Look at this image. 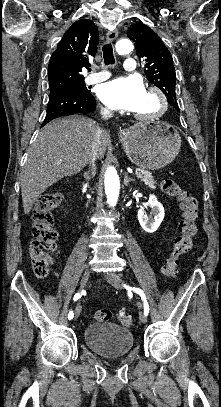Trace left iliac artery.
Returning <instances> with one entry per match:
<instances>
[{
	"label": "left iliac artery",
	"instance_id": "1",
	"mask_svg": "<svg viewBox=\"0 0 221 407\" xmlns=\"http://www.w3.org/2000/svg\"><path fill=\"white\" fill-rule=\"evenodd\" d=\"M124 286H125L126 289L133 290L135 293L140 295V297H141V299L143 300V303H144V313L147 316L148 313H149V305H148V302L146 300L144 292L139 288H135V287L130 288V287L126 286L125 284H124Z\"/></svg>",
	"mask_w": 221,
	"mask_h": 407
}]
</instances>
